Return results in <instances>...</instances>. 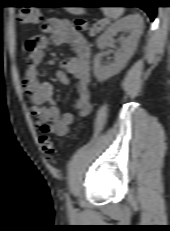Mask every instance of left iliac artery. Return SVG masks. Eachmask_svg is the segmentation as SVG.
I'll return each mask as SVG.
<instances>
[{
	"label": "left iliac artery",
	"instance_id": "obj_1",
	"mask_svg": "<svg viewBox=\"0 0 170 231\" xmlns=\"http://www.w3.org/2000/svg\"><path fill=\"white\" fill-rule=\"evenodd\" d=\"M67 203H68L69 206H71V200H70L68 195H67Z\"/></svg>",
	"mask_w": 170,
	"mask_h": 231
}]
</instances>
